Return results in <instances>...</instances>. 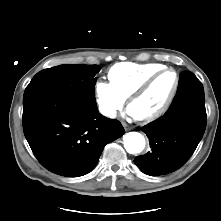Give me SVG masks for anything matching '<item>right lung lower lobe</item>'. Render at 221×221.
Segmentation results:
<instances>
[{
	"mask_svg": "<svg viewBox=\"0 0 221 221\" xmlns=\"http://www.w3.org/2000/svg\"><path fill=\"white\" fill-rule=\"evenodd\" d=\"M23 130L38 161L67 177L89 173L105 145L125 133L98 112L95 100L51 89L25 91Z\"/></svg>",
	"mask_w": 221,
	"mask_h": 221,
	"instance_id": "right-lung-lower-lobe-1",
	"label": "right lung lower lobe"
}]
</instances>
